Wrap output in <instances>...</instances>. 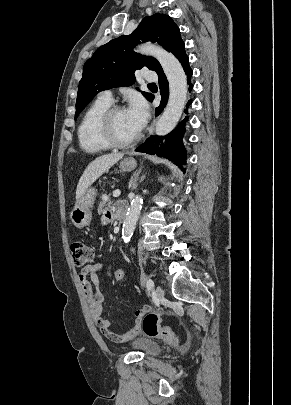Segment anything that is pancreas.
I'll list each match as a JSON object with an SVG mask.
<instances>
[{
  "label": "pancreas",
  "instance_id": "1",
  "mask_svg": "<svg viewBox=\"0 0 291 405\" xmlns=\"http://www.w3.org/2000/svg\"><path fill=\"white\" fill-rule=\"evenodd\" d=\"M111 200L109 197L106 196V194H103L101 196V201L99 202V206H98V213L102 214L104 211V208H108L111 205Z\"/></svg>",
  "mask_w": 291,
  "mask_h": 405
}]
</instances>
